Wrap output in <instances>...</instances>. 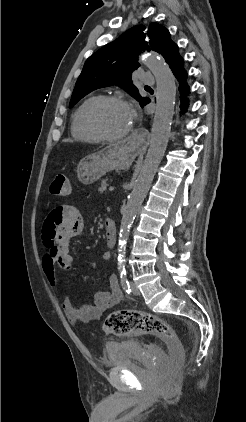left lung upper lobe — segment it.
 <instances>
[{
    "instance_id": "obj_1",
    "label": "left lung upper lobe",
    "mask_w": 246,
    "mask_h": 422,
    "mask_svg": "<svg viewBox=\"0 0 246 422\" xmlns=\"http://www.w3.org/2000/svg\"><path fill=\"white\" fill-rule=\"evenodd\" d=\"M178 46L169 31L158 23L149 28L135 26L105 45L85 62L76 82L69 107L95 89L118 85L130 93L143 107L150 100L141 97L131 75L139 67L137 56L143 51H156L168 62Z\"/></svg>"
}]
</instances>
